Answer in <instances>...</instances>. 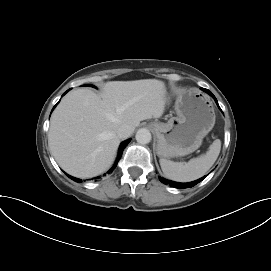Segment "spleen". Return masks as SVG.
Segmentation results:
<instances>
[{
  "instance_id": "spleen-1",
  "label": "spleen",
  "mask_w": 271,
  "mask_h": 271,
  "mask_svg": "<svg viewBox=\"0 0 271 271\" xmlns=\"http://www.w3.org/2000/svg\"><path fill=\"white\" fill-rule=\"evenodd\" d=\"M220 150L221 141L216 139L204 155L193 158L187 163L173 162L163 158L159 162L167 178L177 182H190L206 174L217 160Z\"/></svg>"
}]
</instances>
